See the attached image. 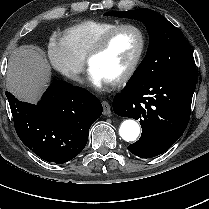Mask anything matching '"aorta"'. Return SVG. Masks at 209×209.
I'll return each instance as SVG.
<instances>
[{
	"instance_id": "obj_1",
	"label": "aorta",
	"mask_w": 209,
	"mask_h": 209,
	"mask_svg": "<svg viewBox=\"0 0 209 209\" xmlns=\"http://www.w3.org/2000/svg\"><path fill=\"white\" fill-rule=\"evenodd\" d=\"M119 134L127 142L135 141L140 134L139 124L133 119H126L120 125Z\"/></svg>"
}]
</instances>
